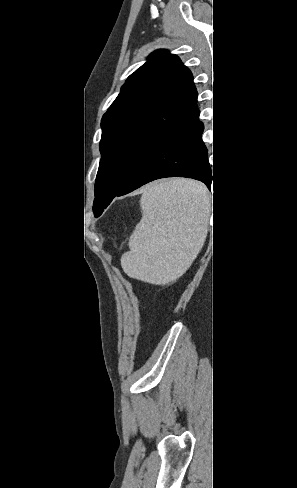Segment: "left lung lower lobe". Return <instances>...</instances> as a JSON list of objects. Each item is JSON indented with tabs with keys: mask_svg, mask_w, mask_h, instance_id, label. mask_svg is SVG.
Returning a JSON list of instances; mask_svg holds the SVG:
<instances>
[{
	"mask_svg": "<svg viewBox=\"0 0 297 488\" xmlns=\"http://www.w3.org/2000/svg\"><path fill=\"white\" fill-rule=\"evenodd\" d=\"M203 129V124L197 117L172 135L137 169L116 196L132 192L153 180L172 176L201 180L210 188L212 172L207 149L201 139ZM112 199L108 201L107 206ZM102 212L103 210L95 217L100 216Z\"/></svg>",
	"mask_w": 297,
	"mask_h": 488,
	"instance_id": "left-lung-lower-lobe-1",
	"label": "left lung lower lobe"
}]
</instances>
